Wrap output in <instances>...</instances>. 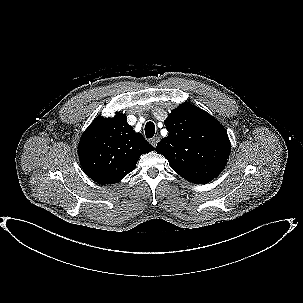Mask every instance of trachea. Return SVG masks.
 Listing matches in <instances>:
<instances>
[{
	"label": "trachea",
	"instance_id": "1",
	"mask_svg": "<svg viewBox=\"0 0 303 303\" xmlns=\"http://www.w3.org/2000/svg\"><path fill=\"white\" fill-rule=\"evenodd\" d=\"M145 134L147 138H152L155 134V125L153 122L149 121L145 125Z\"/></svg>",
	"mask_w": 303,
	"mask_h": 303
}]
</instances>
